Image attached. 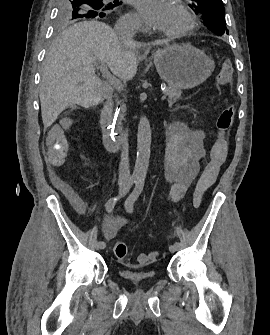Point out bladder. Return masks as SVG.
<instances>
[{"label":"bladder","instance_id":"obj_1","mask_svg":"<svg viewBox=\"0 0 270 335\" xmlns=\"http://www.w3.org/2000/svg\"><path fill=\"white\" fill-rule=\"evenodd\" d=\"M155 275L152 272H146V271H123L122 272V278L125 282L139 285L141 283H147L150 281H153L155 279Z\"/></svg>","mask_w":270,"mask_h":335}]
</instances>
